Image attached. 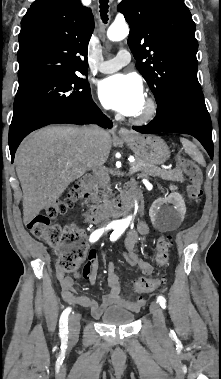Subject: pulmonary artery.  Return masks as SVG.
Listing matches in <instances>:
<instances>
[{
    "label": "pulmonary artery",
    "instance_id": "1",
    "mask_svg": "<svg viewBox=\"0 0 221 379\" xmlns=\"http://www.w3.org/2000/svg\"><path fill=\"white\" fill-rule=\"evenodd\" d=\"M131 60L130 52L126 49L120 50L116 57L110 60L103 61L99 64L98 70L101 73H113L123 66L127 65Z\"/></svg>",
    "mask_w": 221,
    "mask_h": 379
}]
</instances>
